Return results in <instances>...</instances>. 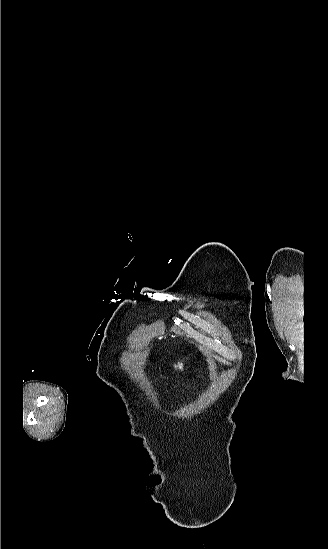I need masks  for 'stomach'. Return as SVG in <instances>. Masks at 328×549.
Returning <instances> with one entry per match:
<instances>
[{"label":"stomach","instance_id":"obj_1","mask_svg":"<svg viewBox=\"0 0 328 549\" xmlns=\"http://www.w3.org/2000/svg\"><path fill=\"white\" fill-rule=\"evenodd\" d=\"M186 361L185 359H178V361H175L172 365V371L173 373H184L186 371Z\"/></svg>","mask_w":328,"mask_h":549}]
</instances>
